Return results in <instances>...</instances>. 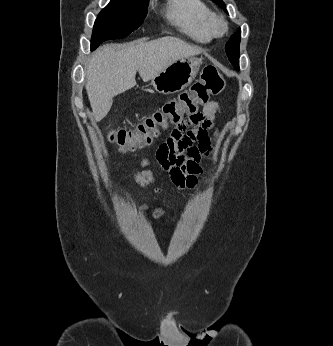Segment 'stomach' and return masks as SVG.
<instances>
[{
    "instance_id": "1",
    "label": "stomach",
    "mask_w": 333,
    "mask_h": 346,
    "mask_svg": "<svg viewBox=\"0 0 333 346\" xmlns=\"http://www.w3.org/2000/svg\"><path fill=\"white\" fill-rule=\"evenodd\" d=\"M202 58L177 60L151 79L153 88L161 94H173L188 87L197 76Z\"/></svg>"
}]
</instances>
